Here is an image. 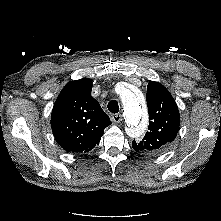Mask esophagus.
<instances>
[{"mask_svg":"<svg viewBox=\"0 0 221 221\" xmlns=\"http://www.w3.org/2000/svg\"><path fill=\"white\" fill-rule=\"evenodd\" d=\"M111 119L114 123H119L122 121V115L121 114H113L111 116Z\"/></svg>","mask_w":221,"mask_h":221,"instance_id":"esophagus-1","label":"esophagus"}]
</instances>
